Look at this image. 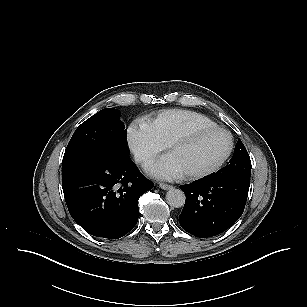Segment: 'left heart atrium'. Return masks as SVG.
Segmentation results:
<instances>
[{
    "label": "left heart atrium",
    "mask_w": 307,
    "mask_h": 307,
    "mask_svg": "<svg viewBox=\"0 0 307 307\" xmlns=\"http://www.w3.org/2000/svg\"><path fill=\"white\" fill-rule=\"evenodd\" d=\"M146 172L148 175L162 180L179 179L183 175L168 154L160 157Z\"/></svg>",
    "instance_id": "obj_1"
}]
</instances>
